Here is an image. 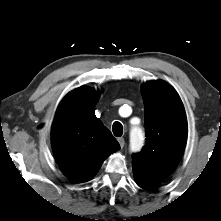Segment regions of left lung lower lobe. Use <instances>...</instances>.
I'll return each instance as SVG.
<instances>
[{"label": "left lung lower lobe", "instance_id": "obj_1", "mask_svg": "<svg viewBox=\"0 0 221 221\" xmlns=\"http://www.w3.org/2000/svg\"><path fill=\"white\" fill-rule=\"evenodd\" d=\"M133 172H134V177H135L136 183L141 188H143V189H153V188H155L159 185L158 181L147 177L138 168H133Z\"/></svg>", "mask_w": 221, "mask_h": 221}]
</instances>
